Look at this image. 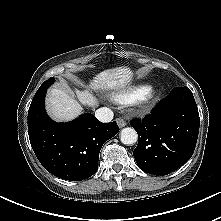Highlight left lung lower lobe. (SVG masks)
I'll list each match as a JSON object with an SVG mask.
<instances>
[{
    "mask_svg": "<svg viewBox=\"0 0 221 221\" xmlns=\"http://www.w3.org/2000/svg\"><path fill=\"white\" fill-rule=\"evenodd\" d=\"M130 125L138 133L133 155L138 167L153 175H167L192 156L200 118L188 87L174 88L145 118Z\"/></svg>",
    "mask_w": 221,
    "mask_h": 221,
    "instance_id": "obj_1",
    "label": "left lung lower lobe"
}]
</instances>
